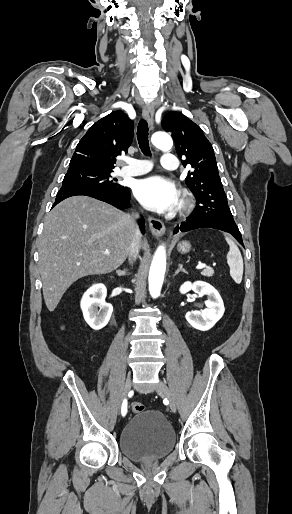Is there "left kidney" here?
I'll list each match as a JSON object with an SVG mask.
<instances>
[{
  "mask_svg": "<svg viewBox=\"0 0 292 514\" xmlns=\"http://www.w3.org/2000/svg\"><path fill=\"white\" fill-rule=\"evenodd\" d=\"M190 290H193V292L199 294V296H207L205 302L207 308L206 310H202V312H199V310L187 312L185 318L196 330L207 332V330L213 328L216 322L222 318L225 312L223 300L219 292H217L213 286L207 284V282H194V284L185 282L180 288L181 294H187Z\"/></svg>",
  "mask_w": 292,
  "mask_h": 514,
  "instance_id": "obj_1",
  "label": "left kidney"
}]
</instances>
